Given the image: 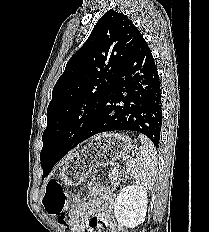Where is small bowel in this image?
<instances>
[{"mask_svg": "<svg viewBox=\"0 0 209 232\" xmlns=\"http://www.w3.org/2000/svg\"><path fill=\"white\" fill-rule=\"evenodd\" d=\"M113 205L112 190L92 180L88 184L87 195L79 199L69 211L67 224L70 232H101V228L110 232H123L111 213Z\"/></svg>", "mask_w": 209, "mask_h": 232, "instance_id": "1", "label": "small bowel"}]
</instances>
